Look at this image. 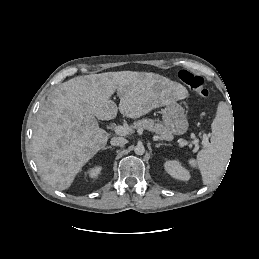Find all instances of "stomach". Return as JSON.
<instances>
[{
	"label": "stomach",
	"instance_id": "0dacf381",
	"mask_svg": "<svg viewBox=\"0 0 259 259\" xmlns=\"http://www.w3.org/2000/svg\"><path fill=\"white\" fill-rule=\"evenodd\" d=\"M165 127L174 135H183L188 130V120L184 109L176 102L166 105L162 111Z\"/></svg>",
	"mask_w": 259,
	"mask_h": 259
}]
</instances>
